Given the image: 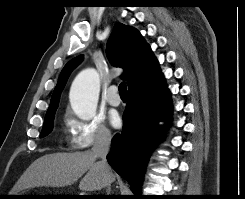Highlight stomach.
<instances>
[{
    "instance_id": "0dacf381",
    "label": "stomach",
    "mask_w": 245,
    "mask_h": 199,
    "mask_svg": "<svg viewBox=\"0 0 245 199\" xmlns=\"http://www.w3.org/2000/svg\"><path fill=\"white\" fill-rule=\"evenodd\" d=\"M12 195H30V194H27L25 192H20V193H15V194H12ZM14 199H27L29 197L27 196H13Z\"/></svg>"
}]
</instances>
